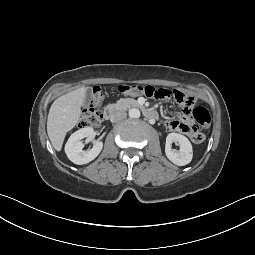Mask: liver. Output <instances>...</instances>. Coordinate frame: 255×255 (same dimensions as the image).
Listing matches in <instances>:
<instances>
[{"label": "liver", "instance_id": "liver-1", "mask_svg": "<svg viewBox=\"0 0 255 255\" xmlns=\"http://www.w3.org/2000/svg\"><path fill=\"white\" fill-rule=\"evenodd\" d=\"M85 88H79L57 98L50 107L47 133L55 150L61 151L66 133L78 123Z\"/></svg>", "mask_w": 255, "mask_h": 255}]
</instances>
